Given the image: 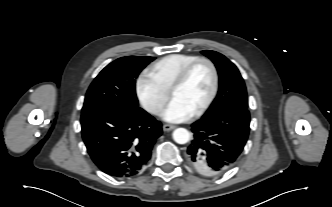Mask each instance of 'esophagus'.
I'll list each match as a JSON object with an SVG mask.
<instances>
[{
	"label": "esophagus",
	"mask_w": 332,
	"mask_h": 207,
	"mask_svg": "<svg viewBox=\"0 0 332 207\" xmlns=\"http://www.w3.org/2000/svg\"><path fill=\"white\" fill-rule=\"evenodd\" d=\"M175 128H176L175 125H170V124H164V125H163V130H164V131H170V130H173V129H175Z\"/></svg>",
	"instance_id": "1"
}]
</instances>
